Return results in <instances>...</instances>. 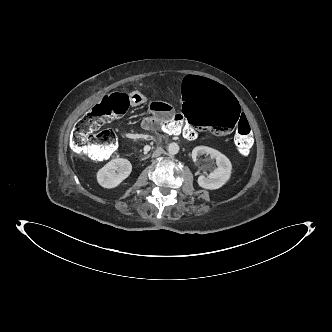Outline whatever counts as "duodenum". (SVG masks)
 Returning <instances> with one entry per match:
<instances>
[{
	"instance_id": "obj_1",
	"label": "duodenum",
	"mask_w": 332,
	"mask_h": 332,
	"mask_svg": "<svg viewBox=\"0 0 332 332\" xmlns=\"http://www.w3.org/2000/svg\"><path fill=\"white\" fill-rule=\"evenodd\" d=\"M160 125V121L159 119H155L153 121V126H159ZM167 136H178V137H182L184 139H187V140H192L193 139V136L192 134L186 130V129H178V130H168L167 133H166Z\"/></svg>"
}]
</instances>
